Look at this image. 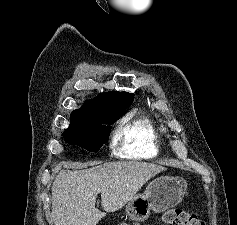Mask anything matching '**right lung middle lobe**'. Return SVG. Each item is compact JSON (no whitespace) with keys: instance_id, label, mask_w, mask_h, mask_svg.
<instances>
[{"instance_id":"1","label":"right lung middle lobe","mask_w":237,"mask_h":225,"mask_svg":"<svg viewBox=\"0 0 237 225\" xmlns=\"http://www.w3.org/2000/svg\"><path fill=\"white\" fill-rule=\"evenodd\" d=\"M121 116L108 111H98L87 123H70L68 129L64 131L65 141L90 152H97L109 138L110 131L105 124L111 125Z\"/></svg>"}]
</instances>
